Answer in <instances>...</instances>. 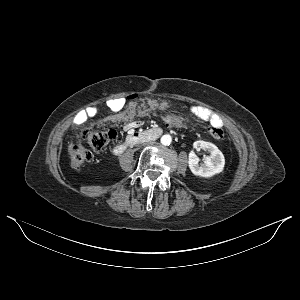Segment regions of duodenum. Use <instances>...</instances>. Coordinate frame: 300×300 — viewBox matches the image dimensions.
<instances>
[{
  "mask_svg": "<svg viewBox=\"0 0 300 300\" xmlns=\"http://www.w3.org/2000/svg\"><path fill=\"white\" fill-rule=\"evenodd\" d=\"M161 133L162 132L159 128H153L143 132H132L127 135L123 142L119 143L113 148L112 153L114 155H119L127 147L132 146L138 142H142L143 140L156 139L161 135Z\"/></svg>",
  "mask_w": 300,
  "mask_h": 300,
  "instance_id": "1",
  "label": "duodenum"
}]
</instances>
